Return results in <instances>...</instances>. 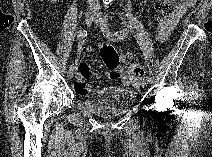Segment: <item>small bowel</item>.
Returning <instances> with one entry per match:
<instances>
[{"instance_id": "small-bowel-1", "label": "small bowel", "mask_w": 212, "mask_h": 157, "mask_svg": "<svg viewBox=\"0 0 212 157\" xmlns=\"http://www.w3.org/2000/svg\"><path fill=\"white\" fill-rule=\"evenodd\" d=\"M193 4H194L193 0H184L180 3H178L176 5L175 9L173 10V12L163 19L162 24L158 28V38L161 41L167 40L171 31L177 24L178 20L185 13L186 9L190 6H192ZM77 48H78V52L80 54L90 53L94 50V48L92 46L86 45L81 42L78 43ZM80 67L85 69V68H88V65H87V63H81ZM129 83H131L133 86L137 87L139 85V79L133 80ZM129 83H127V84H129Z\"/></svg>"}]
</instances>
